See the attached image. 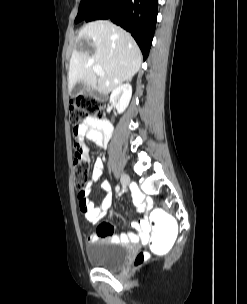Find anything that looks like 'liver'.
<instances>
[{"mask_svg": "<svg viewBox=\"0 0 247 304\" xmlns=\"http://www.w3.org/2000/svg\"><path fill=\"white\" fill-rule=\"evenodd\" d=\"M142 54L130 33L110 21L98 20L78 33L68 73V89L83 82L88 90L108 94L139 71ZM94 65L104 75L97 76Z\"/></svg>", "mask_w": 247, "mask_h": 304, "instance_id": "obj_1", "label": "liver"}]
</instances>
